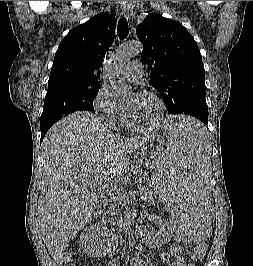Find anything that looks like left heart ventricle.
Wrapping results in <instances>:
<instances>
[{"instance_id": "left-heart-ventricle-1", "label": "left heart ventricle", "mask_w": 253, "mask_h": 266, "mask_svg": "<svg viewBox=\"0 0 253 266\" xmlns=\"http://www.w3.org/2000/svg\"><path fill=\"white\" fill-rule=\"evenodd\" d=\"M125 106L131 117L140 125L152 122L158 114V104L150 95L131 94Z\"/></svg>"}]
</instances>
